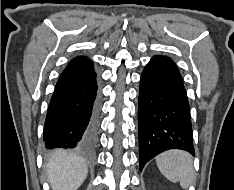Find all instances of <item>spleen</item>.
I'll use <instances>...</instances> for the list:
<instances>
[{
    "instance_id": "1",
    "label": "spleen",
    "mask_w": 234,
    "mask_h": 190,
    "mask_svg": "<svg viewBox=\"0 0 234 190\" xmlns=\"http://www.w3.org/2000/svg\"><path fill=\"white\" fill-rule=\"evenodd\" d=\"M160 172L171 182H179L187 189L193 181L194 168L192 156L182 150H169L156 157Z\"/></svg>"
}]
</instances>
